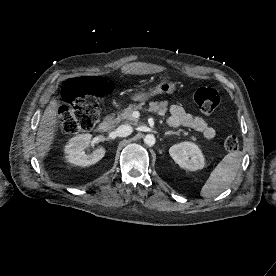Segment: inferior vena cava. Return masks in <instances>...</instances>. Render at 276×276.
Wrapping results in <instances>:
<instances>
[{"instance_id":"inferior-vena-cava-1","label":"inferior vena cava","mask_w":276,"mask_h":276,"mask_svg":"<svg viewBox=\"0 0 276 276\" xmlns=\"http://www.w3.org/2000/svg\"><path fill=\"white\" fill-rule=\"evenodd\" d=\"M133 131V128L130 125H120L117 129V135L119 137H127L129 136Z\"/></svg>"}]
</instances>
